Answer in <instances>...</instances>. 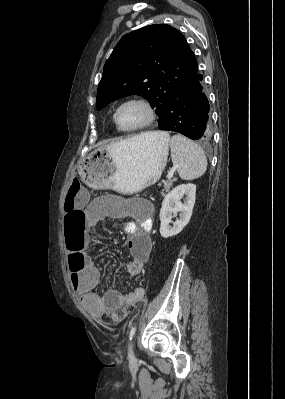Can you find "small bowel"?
I'll use <instances>...</instances> for the list:
<instances>
[{"instance_id": "obj_1", "label": "small bowel", "mask_w": 285, "mask_h": 399, "mask_svg": "<svg viewBox=\"0 0 285 399\" xmlns=\"http://www.w3.org/2000/svg\"><path fill=\"white\" fill-rule=\"evenodd\" d=\"M83 208L87 200L80 202ZM80 209H82L80 207ZM98 217L114 216L124 218L125 203L122 198L114 196L104 197L98 204ZM95 221L86 224L79 223L70 226L65 221V233L71 231L77 241L86 247L91 245L90 231L95 226ZM154 225V220L145 214L137 215L133 220L121 225L123 232L127 235L128 251L130 259L124 266L126 275L132 278L138 277L143 269L144 263L150 256L151 240L150 231ZM70 283L82 306L92 312L97 319H108V324H117L122 319L114 318L126 304L131 306L142 302L144 291L136 289L129 293H123L116 289L104 288L101 294L94 292L102 284L101 270L95 264L90 255L85 256V266L82 270L71 274Z\"/></svg>"}]
</instances>
